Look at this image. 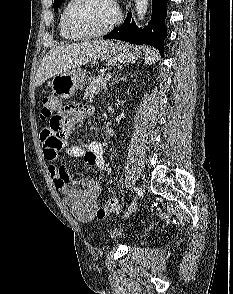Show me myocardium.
Returning <instances> with one entry per match:
<instances>
[{
    "label": "myocardium",
    "instance_id": "f54148a6",
    "mask_svg": "<svg viewBox=\"0 0 233 294\" xmlns=\"http://www.w3.org/2000/svg\"><path fill=\"white\" fill-rule=\"evenodd\" d=\"M79 2L80 0H71L66 9L65 17H64L65 26L67 30L77 38L90 39V38H97V37L104 36L108 34L110 31H112L121 21L122 15H121V11L118 4L116 3L115 0H108V2H110L112 6L114 7V17L112 21L106 27H104L103 29L99 31L91 32V33L80 32L72 25V22H71L72 11Z\"/></svg>",
    "mask_w": 233,
    "mask_h": 294
}]
</instances>
